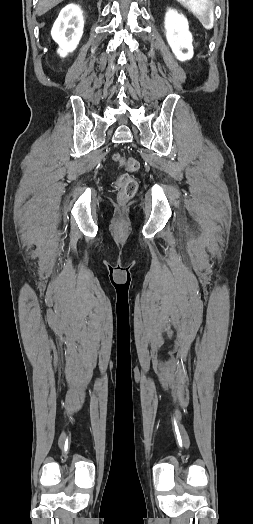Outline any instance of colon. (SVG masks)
Listing matches in <instances>:
<instances>
[{"instance_id": "1", "label": "colon", "mask_w": 253, "mask_h": 524, "mask_svg": "<svg viewBox=\"0 0 253 524\" xmlns=\"http://www.w3.org/2000/svg\"><path fill=\"white\" fill-rule=\"evenodd\" d=\"M114 162L125 168L127 171L132 172L138 168V162L132 158H122L119 154L113 156ZM117 188L119 189V199L121 201L129 200L134 196L137 191V181L129 173H123L116 181Z\"/></svg>"}]
</instances>
